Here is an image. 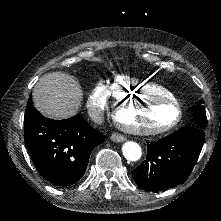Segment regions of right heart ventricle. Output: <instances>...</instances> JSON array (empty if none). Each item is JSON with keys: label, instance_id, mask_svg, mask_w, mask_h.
<instances>
[{"label": "right heart ventricle", "instance_id": "1", "mask_svg": "<svg viewBox=\"0 0 221 221\" xmlns=\"http://www.w3.org/2000/svg\"><path fill=\"white\" fill-rule=\"evenodd\" d=\"M110 93L117 99L131 98L142 94L146 96L155 94L169 98L172 96L173 91L171 88L163 85H156L154 83L148 85L146 82L127 74H120L113 80ZM182 105L184 107V104Z\"/></svg>", "mask_w": 221, "mask_h": 221}]
</instances>
